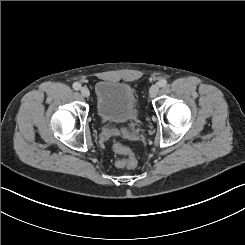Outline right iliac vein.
Wrapping results in <instances>:
<instances>
[{
    "label": "right iliac vein",
    "instance_id": "1",
    "mask_svg": "<svg viewBox=\"0 0 245 245\" xmlns=\"http://www.w3.org/2000/svg\"><path fill=\"white\" fill-rule=\"evenodd\" d=\"M80 92H81V95L84 96V97H89V95H90V91L86 87H82L80 89Z\"/></svg>",
    "mask_w": 245,
    "mask_h": 245
}]
</instances>
